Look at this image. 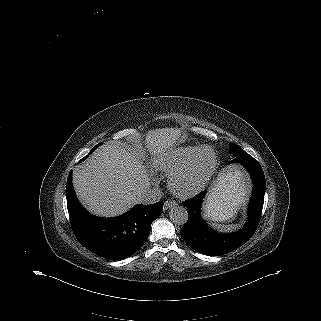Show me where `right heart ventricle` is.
<instances>
[{
	"label": "right heart ventricle",
	"instance_id": "right-heart-ventricle-1",
	"mask_svg": "<svg viewBox=\"0 0 321 321\" xmlns=\"http://www.w3.org/2000/svg\"><path fill=\"white\" fill-rule=\"evenodd\" d=\"M199 148V146H187L165 151L152 160V168L165 174L174 173L185 167Z\"/></svg>",
	"mask_w": 321,
	"mask_h": 321
}]
</instances>
